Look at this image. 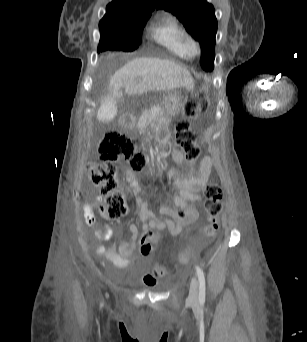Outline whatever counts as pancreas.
<instances>
[{
	"instance_id": "pancreas-1",
	"label": "pancreas",
	"mask_w": 307,
	"mask_h": 342,
	"mask_svg": "<svg viewBox=\"0 0 307 342\" xmlns=\"http://www.w3.org/2000/svg\"><path fill=\"white\" fill-rule=\"evenodd\" d=\"M160 112H163V110L159 104L158 106L151 107L150 112H143L138 120L137 128H139V130H144V128H146L147 120L160 119L162 116Z\"/></svg>"
}]
</instances>
